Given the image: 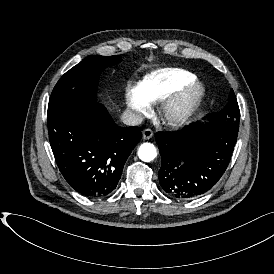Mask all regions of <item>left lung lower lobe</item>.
Segmentation results:
<instances>
[{
    "label": "left lung lower lobe",
    "mask_w": 274,
    "mask_h": 274,
    "mask_svg": "<svg viewBox=\"0 0 274 274\" xmlns=\"http://www.w3.org/2000/svg\"><path fill=\"white\" fill-rule=\"evenodd\" d=\"M237 136L238 129L216 122L157 132L155 140L162 158L158 177L164 191L178 199L209 191L227 169Z\"/></svg>",
    "instance_id": "left-lung-lower-lobe-1"
}]
</instances>
